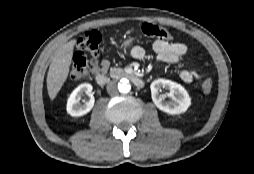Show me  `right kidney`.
Segmentation results:
<instances>
[{
    "instance_id": "ca27d5eb",
    "label": "right kidney",
    "mask_w": 254,
    "mask_h": 174,
    "mask_svg": "<svg viewBox=\"0 0 254 174\" xmlns=\"http://www.w3.org/2000/svg\"><path fill=\"white\" fill-rule=\"evenodd\" d=\"M93 87L91 84L83 83L73 90L67 101V112L74 117H79L87 114L94 106V97L92 93ZM87 94L89 99L84 103H80L81 96Z\"/></svg>"
}]
</instances>
